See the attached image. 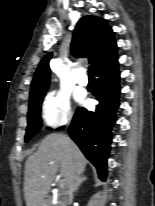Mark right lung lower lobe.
<instances>
[{
    "label": "right lung lower lobe",
    "instance_id": "obj_1",
    "mask_svg": "<svg viewBox=\"0 0 155 206\" xmlns=\"http://www.w3.org/2000/svg\"><path fill=\"white\" fill-rule=\"evenodd\" d=\"M117 59L97 74L96 99L99 104L96 110L92 112L78 108L69 127L70 137L94 164L102 180H105L107 175V158L112 139L111 128L116 121V111L119 106L120 74Z\"/></svg>",
    "mask_w": 155,
    "mask_h": 206
}]
</instances>
